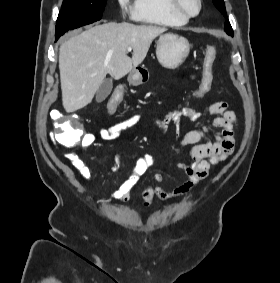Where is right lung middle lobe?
<instances>
[{"label": "right lung middle lobe", "mask_w": 280, "mask_h": 283, "mask_svg": "<svg viewBox=\"0 0 280 283\" xmlns=\"http://www.w3.org/2000/svg\"><path fill=\"white\" fill-rule=\"evenodd\" d=\"M107 0H63L56 21V38L70 29L101 19Z\"/></svg>", "instance_id": "right-lung-middle-lobe-1"}]
</instances>
